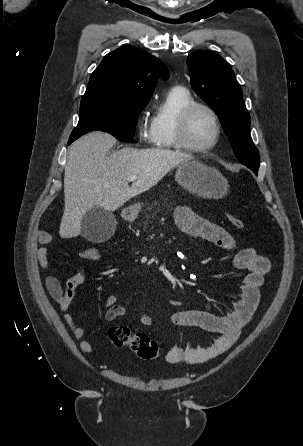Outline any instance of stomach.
Segmentation results:
<instances>
[{"label":"stomach","mask_w":303,"mask_h":446,"mask_svg":"<svg viewBox=\"0 0 303 446\" xmlns=\"http://www.w3.org/2000/svg\"><path fill=\"white\" fill-rule=\"evenodd\" d=\"M175 179L188 192L207 199L223 198L229 187L226 178L217 169L193 159L178 165ZM141 208L142 204L136 203L126 208L122 216L127 221H133Z\"/></svg>","instance_id":"1"}]
</instances>
